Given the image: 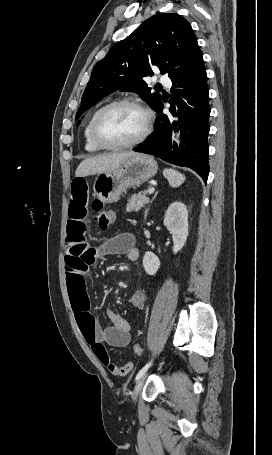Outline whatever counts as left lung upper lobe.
Here are the masks:
<instances>
[{
    "mask_svg": "<svg viewBox=\"0 0 272 455\" xmlns=\"http://www.w3.org/2000/svg\"><path fill=\"white\" fill-rule=\"evenodd\" d=\"M200 56L195 34L180 15L159 14L149 18L95 65L75 119L104 96L120 89L141 95L155 109L162 97L152 93L142 79L153 75L151 67L157 66L161 74L171 77Z\"/></svg>",
    "mask_w": 272,
    "mask_h": 455,
    "instance_id": "1",
    "label": "left lung upper lobe"
}]
</instances>
